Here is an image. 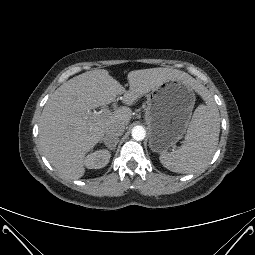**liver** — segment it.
<instances>
[{
  "label": "liver",
  "instance_id": "1",
  "mask_svg": "<svg viewBox=\"0 0 255 255\" xmlns=\"http://www.w3.org/2000/svg\"><path fill=\"white\" fill-rule=\"evenodd\" d=\"M179 78L193 89L202 87L185 72L172 68H150L128 73L129 92L124 102L135 100L165 81ZM124 93L122 86L107 70L82 73L63 83L50 96L39 122L40 145L48 161L69 179H79L85 173L86 154L104 138L111 124L127 126L130 108L124 106L109 115H95L91 109L113 102Z\"/></svg>",
  "mask_w": 255,
  "mask_h": 255
}]
</instances>
